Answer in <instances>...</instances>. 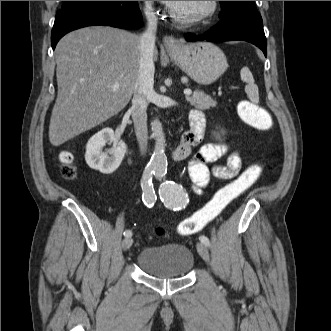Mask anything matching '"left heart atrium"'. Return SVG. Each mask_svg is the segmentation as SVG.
<instances>
[{
  "instance_id": "left-heart-atrium-1",
  "label": "left heart atrium",
  "mask_w": 331,
  "mask_h": 331,
  "mask_svg": "<svg viewBox=\"0 0 331 331\" xmlns=\"http://www.w3.org/2000/svg\"><path fill=\"white\" fill-rule=\"evenodd\" d=\"M169 6H173L177 1H162Z\"/></svg>"
}]
</instances>
